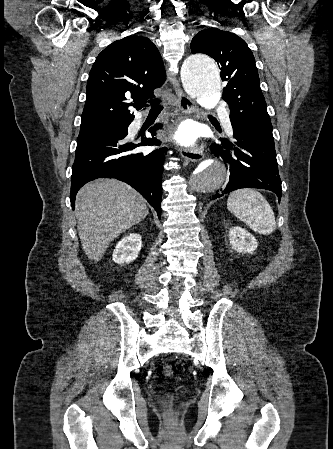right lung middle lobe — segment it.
Returning a JSON list of instances; mask_svg holds the SVG:
<instances>
[{
	"label": "right lung middle lobe",
	"mask_w": 333,
	"mask_h": 449,
	"mask_svg": "<svg viewBox=\"0 0 333 449\" xmlns=\"http://www.w3.org/2000/svg\"><path fill=\"white\" fill-rule=\"evenodd\" d=\"M124 126H125V123H118V124L98 126V127H93V128H87V129H80V134L98 132V131L109 130V129H118V128H122Z\"/></svg>",
	"instance_id": "1"
}]
</instances>
